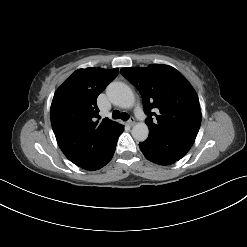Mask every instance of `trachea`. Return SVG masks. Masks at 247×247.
<instances>
[{
	"label": "trachea",
	"mask_w": 247,
	"mask_h": 247,
	"mask_svg": "<svg viewBox=\"0 0 247 247\" xmlns=\"http://www.w3.org/2000/svg\"><path fill=\"white\" fill-rule=\"evenodd\" d=\"M113 119H122L124 121L129 119V115L125 112L120 113L118 110H114L112 113Z\"/></svg>",
	"instance_id": "1"
}]
</instances>
